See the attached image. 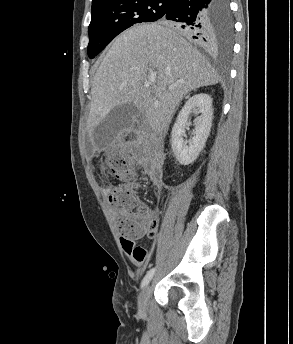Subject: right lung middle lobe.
Segmentation results:
<instances>
[{"label":"right lung middle lobe","mask_w":293,"mask_h":344,"mask_svg":"<svg viewBox=\"0 0 293 344\" xmlns=\"http://www.w3.org/2000/svg\"><path fill=\"white\" fill-rule=\"evenodd\" d=\"M170 0H115L92 8L88 56L94 58L118 34L137 23L163 18ZM215 44L229 49L233 25L228 0H217L213 16Z\"/></svg>","instance_id":"1"}]
</instances>
